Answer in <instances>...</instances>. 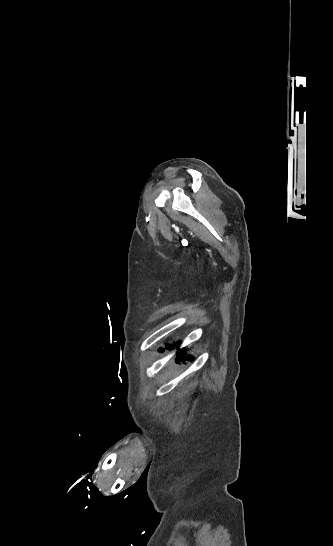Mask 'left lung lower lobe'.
<instances>
[{
    "mask_svg": "<svg viewBox=\"0 0 333 546\" xmlns=\"http://www.w3.org/2000/svg\"><path fill=\"white\" fill-rule=\"evenodd\" d=\"M179 346H180V342H177L175 345H173V344H172V345H166V349L171 350V349H173L174 347H176L177 350H178V351H177V354H178L177 358H178L179 360H181V359H183V360H187V359H188V360H191L190 357L187 358V357H184V356H182V355L180 354L182 350L185 351V348L179 349ZM183 353H185V352H183Z\"/></svg>",
    "mask_w": 333,
    "mask_h": 546,
    "instance_id": "0a47b994",
    "label": "left lung lower lobe"
}]
</instances>
